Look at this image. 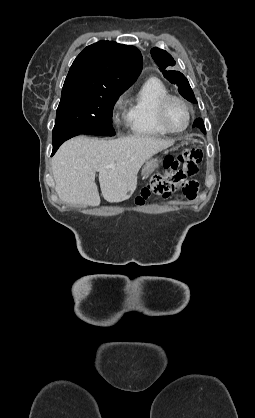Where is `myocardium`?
I'll return each instance as SVG.
<instances>
[{
    "mask_svg": "<svg viewBox=\"0 0 255 418\" xmlns=\"http://www.w3.org/2000/svg\"><path fill=\"white\" fill-rule=\"evenodd\" d=\"M172 101H178L186 108V111H187V123L183 128L178 129V130L170 127L166 118L168 106ZM157 119H158L159 124L169 133H175V134L182 133L189 127L191 123L192 108L190 104L184 98L178 95L168 94L164 96L158 104Z\"/></svg>",
    "mask_w": 255,
    "mask_h": 418,
    "instance_id": "myocardium-1",
    "label": "myocardium"
}]
</instances>
